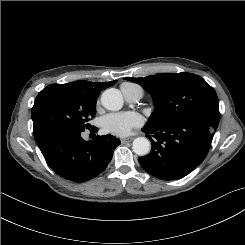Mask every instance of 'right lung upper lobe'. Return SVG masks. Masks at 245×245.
Masks as SVG:
<instances>
[{
    "instance_id": "cb5924a9",
    "label": "right lung upper lobe",
    "mask_w": 245,
    "mask_h": 245,
    "mask_svg": "<svg viewBox=\"0 0 245 245\" xmlns=\"http://www.w3.org/2000/svg\"><path fill=\"white\" fill-rule=\"evenodd\" d=\"M116 81L110 82H90V81H75L67 83L68 86L73 87L77 90L82 91L85 94L98 97L100 92L110 86H112Z\"/></svg>"
}]
</instances>
